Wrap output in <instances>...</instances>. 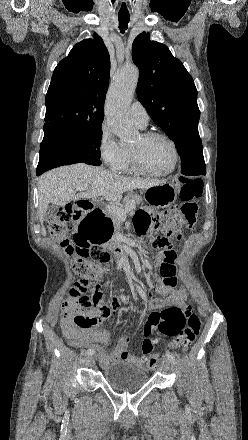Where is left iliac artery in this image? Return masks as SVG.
Returning <instances> with one entry per match:
<instances>
[{
    "mask_svg": "<svg viewBox=\"0 0 248 440\" xmlns=\"http://www.w3.org/2000/svg\"><path fill=\"white\" fill-rule=\"evenodd\" d=\"M166 356L171 362H173V363L175 362L176 359H175V356L173 353H171L170 351H167Z\"/></svg>",
    "mask_w": 248,
    "mask_h": 440,
    "instance_id": "1",
    "label": "left iliac artery"
}]
</instances>
